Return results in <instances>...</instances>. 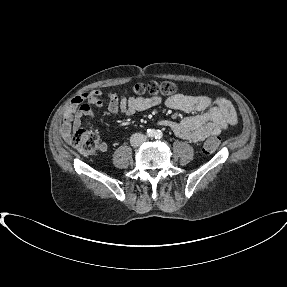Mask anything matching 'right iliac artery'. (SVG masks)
Listing matches in <instances>:
<instances>
[{
	"label": "right iliac artery",
	"mask_w": 287,
	"mask_h": 287,
	"mask_svg": "<svg viewBox=\"0 0 287 287\" xmlns=\"http://www.w3.org/2000/svg\"><path fill=\"white\" fill-rule=\"evenodd\" d=\"M146 134L148 137L153 138L156 136V131L154 129H148Z\"/></svg>",
	"instance_id": "obj_1"
}]
</instances>
